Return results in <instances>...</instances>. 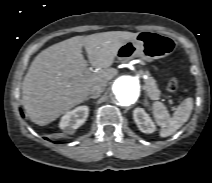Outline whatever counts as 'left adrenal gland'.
<instances>
[{
    "label": "left adrenal gland",
    "mask_w": 212,
    "mask_h": 183,
    "mask_svg": "<svg viewBox=\"0 0 212 183\" xmlns=\"http://www.w3.org/2000/svg\"><path fill=\"white\" fill-rule=\"evenodd\" d=\"M144 104L145 105H148L149 104L147 97H145V99H144Z\"/></svg>",
    "instance_id": "obj_1"
}]
</instances>
